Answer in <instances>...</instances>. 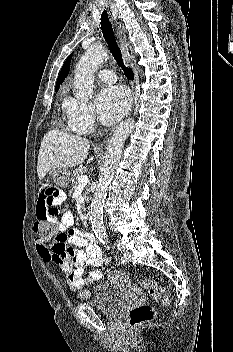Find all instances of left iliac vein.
<instances>
[{
  "instance_id": "left-iliac-vein-1",
  "label": "left iliac vein",
  "mask_w": 233,
  "mask_h": 352,
  "mask_svg": "<svg viewBox=\"0 0 233 352\" xmlns=\"http://www.w3.org/2000/svg\"><path fill=\"white\" fill-rule=\"evenodd\" d=\"M123 256L125 258V262H129L130 261L131 253L129 251H125Z\"/></svg>"
}]
</instances>
